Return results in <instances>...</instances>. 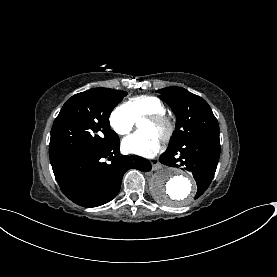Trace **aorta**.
I'll list each match as a JSON object with an SVG mask.
<instances>
[{
	"label": "aorta",
	"mask_w": 277,
	"mask_h": 277,
	"mask_svg": "<svg viewBox=\"0 0 277 277\" xmlns=\"http://www.w3.org/2000/svg\"><path fill=\"white\" fill-rule=\"evenodd\" d=\"M150 188L155 198L165 205L189 203L196 193L193 178L184 171L164 168L152 178Z\"/></svg>",
	"instance_id": "aorta-1"
}]
</instances>
